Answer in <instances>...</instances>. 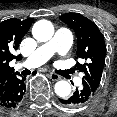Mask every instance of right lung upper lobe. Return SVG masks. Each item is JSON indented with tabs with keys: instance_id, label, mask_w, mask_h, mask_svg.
Listing matches in <instances>:
<instances>
[{
	"instance_id": "cb5924a9",
	"label": "right lung upper lobe",
	"mask_w": 117,
	"mask_h": 117,
	"mask_svg": "<svg viewBox=\"0 0 117 117\" xmlns=\"http://www.w3.org/2000/svg\"><path fill=\"white\" fill-rule=\"evenodd\" d=\"M33 18L23 21L8 19L0 23V95L4 92L12 79L16 77L9 62L13 59H20L12 53L18 49L22 37L27 33Z\"/></svg>"
}]
</instances>
